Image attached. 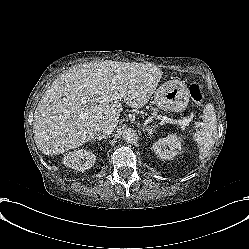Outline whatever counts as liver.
Instances as JSON below:
<instances>
[{"mask_svg":"<svg viewBox=\"0 0 249 249\" xmlns=\"http://www.w3.org/2000/svg\"><path fill=\"white\" fill-rule=\"evenodd\" d=\"M161 73L113 62L89 63L56 79L42 96L33 123L37 147L46 155L83 146L98 136L101 124L123 111L118 94L131 108L144 107Z\"/></svg>","mask_w":249,"mask_h":249,"instance_id":"obj_1","label":"liver"}]
</instances>
